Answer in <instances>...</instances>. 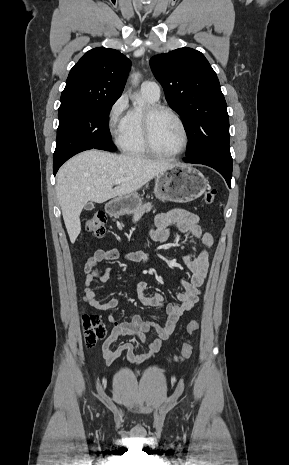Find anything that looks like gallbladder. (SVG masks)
Segmentation results:
<instances>
[{
	"label": "gallbladder",
	"mask_w": 289,
	"mask_h": 465,
	"mask_svg": "<svg viewBox=\"0 0 289 465\" xmlns=\"http://www.w3.org/2000/svg\"><path fill=\"white\" fill-rule=\"evenodd\" d=\"M94 208L93 202H89L85 205L86 210H92Z\"/></svg>",
	"instance_id": "1"
}]
</instances>
